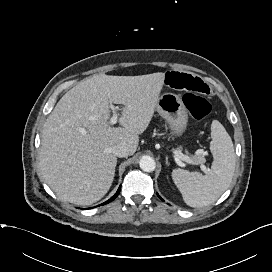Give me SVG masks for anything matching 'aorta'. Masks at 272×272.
I'll return each mask as SVG.
<instances>
[{
	"mask_svg": "<svg viewBox=\"0 0 272 272\" xmlns=\"http://www.w3.org/2000/svg\"><path fill=\"white\" fill-rule=\"evenodd\" d=\"M140 168L145 172H152L156 168L154 159L150 156H142L139 161Z\"/></svg>",
	"mask_w": 272,
	"mask_h": 272,
	"instance_id": "obj_1",
	"label": "aorta"
}]
</instances>
